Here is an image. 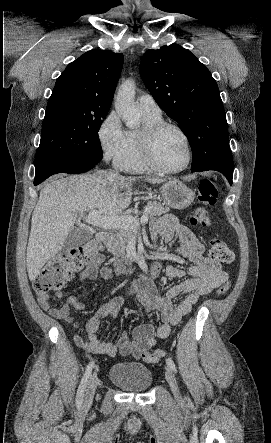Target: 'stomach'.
I'll list each match as a JSON object with an SVG mask.
<instances>
[{"label": "stomach", "mask_w": 271, "mask_h": 443, "mask_svg": "<svg viewBox=\"0 0 271 443\" xmlns=\"http://www.w3.org/2000/svg\"><path fill=\"white\" fill-rule=\"evenodd\" d=\"M161 196L164 204L174 210H185L194 202L195 194L178 180H171L162 186Z\"/></svg>", "instance_id": "1"}]
</instances>
